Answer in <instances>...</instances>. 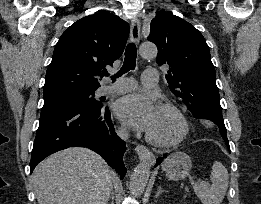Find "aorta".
Returning a JSON list of instances; mask_svg holds the SVG:
<instances>
[{
  "label": "aorta",
  "instance_id": "762f6f07",
  "mask_svg": "<svg viewBox=\"0 0 261 204\" xmlns=\"http://www.w3.org/2000/svg\"><path fill=\"white\" fill-rule=\"evenodd\" d=\"M139 53L143 58H153L157 55V48L154 44H142ZM150 176V164L147 162L139 163L130 177V188L132 193L140 195L148 182Z\"/></svg>",
  "mask_w": 261,
  "mask_h": 204
}]
</instances>
